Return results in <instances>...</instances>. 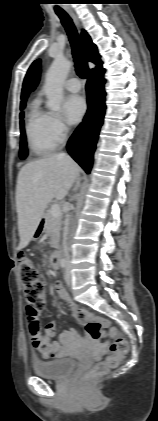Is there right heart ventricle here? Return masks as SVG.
<instances>
[{
  "mask_svg": "<svg viewBox=\"0 0 158 421\" xmlns=\"http://www.w3.org/2000/svg\"><path fill=\"white\" fill-rule=\"evenodd\" d=\"M26 136L30 150L37 156L53 152L57 141L50 129V114L33 104L26 123Z\"/></svg>",
  "mask_w": 158,
  "mask_h": 421,
  "instance_id": "right-heart-ventricle-1",
  "label": "right heart ventricle"
}]
</instances>
